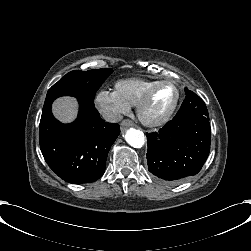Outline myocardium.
<instances>
[{
    "label": "myocardium",
    "mask_w": 251,
    "mask_h": 251,
    "mask_svg": "<svg viewBox=\"0 0 251 251\" xmlns=\"http://www.w3.org/2000/svg\"><path fill=\"white\" fill-rule=\"evenodd\" d=\"M164 82H173L177 85L178 90H179L178 100H177V103L175 104V106L167 114H165L163 117H161L158 120H152L146 116L145 111H146L147 105H148L152 95L154 94L155 90ZM183 99H184V86L182 84H180L177 81L170 79L168 77L161 78V79L155 81L153 84H151L148 87L145 94L143 95V97L140 99V101L136 105L137 116H138L139 120L141 121V123L147 127L162 126V125L166 124L167 122H169L171 120V118L176 114V112L181 107Z\"/></svg>",
    "instance_id": "f54148a6"
}]
</instances>
